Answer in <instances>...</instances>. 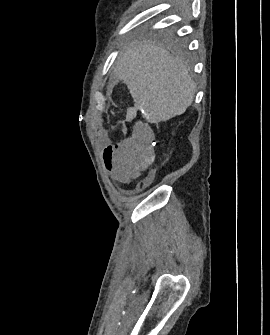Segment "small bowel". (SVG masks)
Returning <instances> with one entry per match:
<instances>
[{
  "label": "small bowel",
  "instance_id": "c3829d8e",
  "mask_svg": "<svg viewBox=\"0 0 270 335\" xmlns=\"http://www.w3.org/2000/svg\"><path fill=\"white\" fill-rule=\"evenodd\" d=\"M125 134H137L133 138L127 135L121 136L122 144H97V161H103L106 173H114V178H136L138 169H146L151 165V158L147 156H159V149H153L155 139L149 127L144 121H127Z\"/></svg>",
  "mask_w": 270,
  "mask_h": 335
}]
</instances>
